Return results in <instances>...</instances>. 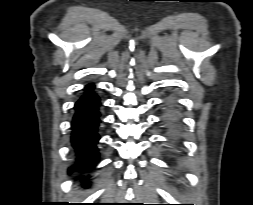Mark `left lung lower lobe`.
<instances>
[{
  "label": "left lung lower lobe",
  "mask_w": 253,
  "mask_h": 205,
  "mask_svg": "<svg viewBox=\"0 0 253 205\" xmlns=\"http://www.w3.org/2000/svg\"><path fill=\"white\" fill-rule=\"evenodd\" d=\"M166 122L170 125H174L177 123L176 116L173 112L170 111L168 113Z\"/></svg>",
  "instance_id": "left-lung-lower-lobe-1"
}]
</instances>
